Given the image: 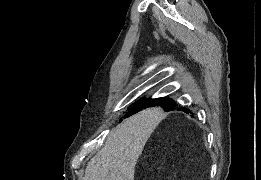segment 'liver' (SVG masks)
I'll list each match as a JSON object with an SVG mask.
<instances>
[{"instance_id": "liver-1", "label": "liver", "mask_w": 261, "mask_h": 180, "mask_svg": "<svg viewBox=\"0 0 261 180\" xmlns=\"http://www.w3.org/2000/svg\"><path fill=\"white\" fill-rule=\"evenodd\" d=\"M143 110L114 128L100 152L88 162L83 180H134L136 162L153 132V112Z\"/></svg>"}]
</instances>
